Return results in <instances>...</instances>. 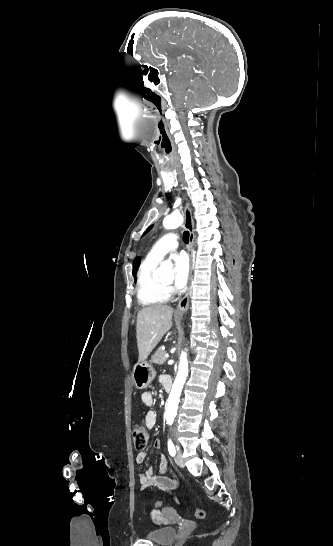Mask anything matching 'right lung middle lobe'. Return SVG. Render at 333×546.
Listing matches in <instances>:
<instances>
[{"label": "right lung middle lobe", "mask_w": 333, "mask_h": 546, "mask_svg": "<svg viewBox=\"0 0 333 546\" xmlns=\"http://www.w3.org/2000/svg\"><path fill=\"white\" fill-rule=\"evenodd\" d=\"M138 268V265L137 264H134L133 265V275L135 276V273H136V270Z\"/></svg>", "instance_id": "right-lung-middle-lobe-1"}]
</instances>
